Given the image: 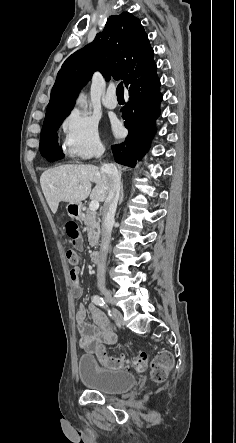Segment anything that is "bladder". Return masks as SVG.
<instances>
[{"instance_id": "1", "label": "bladder", "mask_w": 236, "mask_h": 443, "mask_svg": "<svg viewBox=\"0 0 236 443\" xmlns=\"http://www.w3.org/2000/svg\"><path fill=\"white\" fill-rule=\"evenodd\" d=\"M81 382L90 390L106 394H120L135 386V376L127 371L100 366L91 355H81L77 360Z\"/></svg>"}]
</instances>
